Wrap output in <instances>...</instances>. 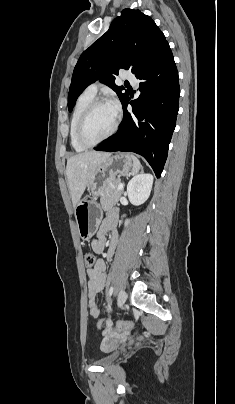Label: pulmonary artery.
Listing matches in <instances>:
<instances>
[{
    "instance_id": "1",
    "label": "pulmonary artery",
    "mask_w": 235,
    "mask_h": 404,
    "mask_svg": "<svg viewBox=\"0 0 235 404\" xmlns=\"http://www.w3.org/2000/svg\"><path fill=\"white\" fill-rule=\"evenodd\" d=\"M121 77L128 80L129 82H131L132 85L137 86V80L131 71H129V70L124 71ZM98 88H99V83H93V84L89 85L85 91L90 94L95 95L98 91Z\"/></svg>"
}]
</instances>
